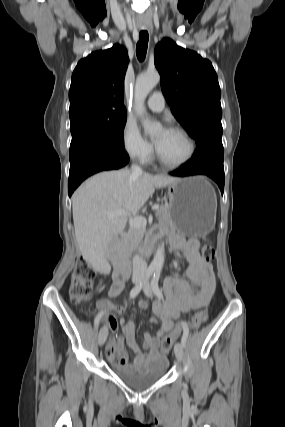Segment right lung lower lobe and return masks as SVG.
<instances>
[{"instance_id":"right-lung-lower-lobe-1","label":"right lung lower lobe","mask_w":285,"mask_h":427,"mask_svg":"<svg viewBox=\"0 0 285 427\" xmlns=\"http://www.w3.org/2000/svg\"><path fill=\"white\" fill-rule=\"evenodd\" d=\"M129 161V156L123 151L115 150L98 144L82 148L70 160L68 194L87 177L104 170L119 169Z\"/></svg>"}]
</instances>
